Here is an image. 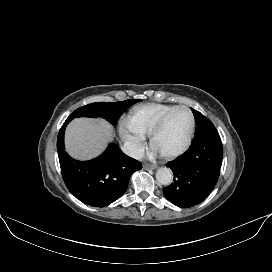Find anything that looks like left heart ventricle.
Instances as JSON below:
<instances>
[{
	"label": "left heart ventricle",
	"instance_id": "1",
	"mask_svg": "<svg viewBox=\"0 0 272 272\" xmlns=\"http://www.w3.org/2000/svg\"><path fill=\"white\" fill-rule=\"evenodd\" d=\"M189 128L190 117L187 111L181 109L173 112L154 138L152 147L160 154L176 150L184 143Z\"/></svg>",
	"mask_w": 272,
	"mask_h": 272
}]
</instances>
